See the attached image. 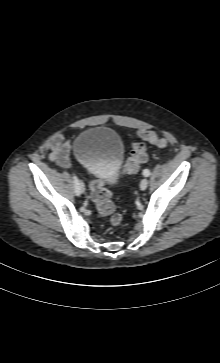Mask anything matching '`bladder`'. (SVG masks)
Listing matches in <instances>:
<instances>
[{
	"label": "bladder",
	"mask_w": 220,
	"mask_h": 363,
	"mask_svg": "<svg viewBox=\"0 0 220 363\" xmlns=\"http://www.w3.org/2000/svg\"><path fill=\"white\" fill-rule=\"evenodd\" d=\"M73 151L91 174L107 183L115 181L125 154L119 134L102 126L79 133L73 141Z\"/></svg>",
	"instance_id": "obj_1"
}]
</instances>
